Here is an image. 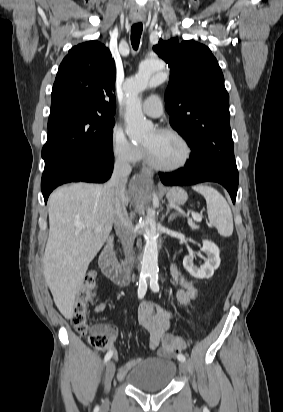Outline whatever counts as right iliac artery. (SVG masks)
I'll return each mask as SVG.
<instances>
[{
    "instance_id": "obj_1",
    "label": "right iliac artery",
    "mask_w": 283,
    "mask_h": 412,
    "mask_svg": "<svg viewBox=\"0 0 283 412\" xmlns=\"http://www.w3.org/2000/svg\"><path fill=\"white\" fill-rule=\"evenodd\" d=\"M146 277L147 275L143 276L142 279L139 282V288H138V298L142 299L144 295L146 294L147 291V282H146ZM113 353L112 351L107 352L104 358V362L106 363L109 361L112 357Z\"/></svg>"
}]
</instances>
